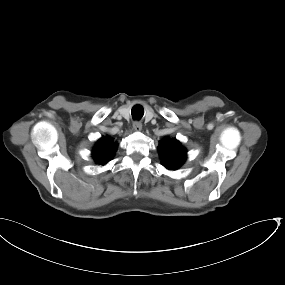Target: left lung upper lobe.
<instances>
[{
	"label": "left lung upper lobe",
	"mask_w": 285,
	"mask_h": 285,
	"mask_svg": "<svg viewBox=\"0 0 285 285\" xmlns=\"http://www.w3.org/2000/svg\"><path fill=\"white\" fill-rule=\"evenodd\" d=\"M158 151L161 153L162 165L169 170L178 169L186 160V150L176 139L165 138L160 142Z\"/></svg>",
	"instance_id": "obj_1"
}]
</instances>
